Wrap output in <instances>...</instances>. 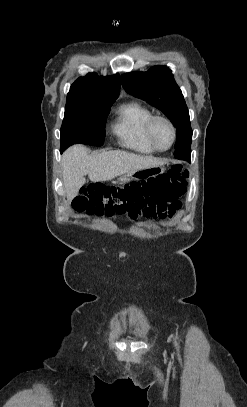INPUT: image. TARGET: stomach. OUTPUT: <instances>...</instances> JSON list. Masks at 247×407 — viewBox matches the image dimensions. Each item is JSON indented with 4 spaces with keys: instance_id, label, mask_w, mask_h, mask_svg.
<instances>
[{
    "instance_id": "obj_1",
    "label": "stomach",
    "mask_w": 247,
    "mask_h": 407,
    "mask_svg": "<svg viewBox=\"0 0 247 407\" xmlns=\"http://www.w3.org/2000/svg\"><path fill=\"white\" fill-rule=\"evenodd\" d=\"M162 166H138L137 169H130V173L118 179V182L124 183L133 178H153V175L164 173Z\"/></svg>"
}]
</instances>
